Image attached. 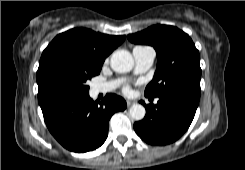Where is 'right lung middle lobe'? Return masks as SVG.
Returning <instances> with one entry per match:
<instances>
[{
    "instance_id": "dd1d6c3e",
    "label": "right lung middle lobe",
    "mask_w": 245,
    "mask_h": 170,
    "mask_svg": "<svg viewBox=\"0 0 245 170\" xmlns=\"http://www.w3.org/2000/svg\"><path fill=\"white\" fill-rule=\"evenodd\" d=\"M101 68L91 69L60 60H52L37 71L38 100L42 111L62 102L89 94L86 82L100 73Z\"/></svg>"
}]
</instances>
